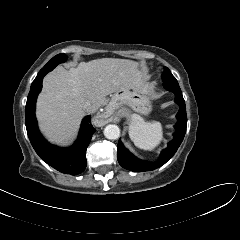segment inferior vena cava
Segmentation results:
<instances>
[{"instance_id": "obj_1", "label": "inferior vena cava", "mask_w": 240, "mask_h": 240, "mask_svg": "<svg viewBox=\"0 0 240 240\" xmlns=\"http://www.w3.org/2000/svg\"><path fill=\"white\" fill-rule=\"evenodd\" d=\"M83 108L86 112L90 113V112L93 111L94 107L92 106V104L89 101H87V102L84 103Z\"/></svg>"}]
</instances>
